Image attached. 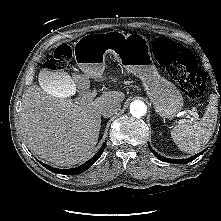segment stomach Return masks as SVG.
<instances>
[{"label":"stomach","mask_w":221,"mask_h":221,"mask_svg":"<svg viewBox=\"0 0 221 221\" xmlns=\"http://www.w3.org/2000/svg\"><path fill=\"white\" fill-rule=\"evenodd\" d=\"M86 46L77 55V65L92 77L103 74L108 54L128 72L138 77L163 118L172 119L182 108L183 98L179 90L164 79L154 65L147 38L141 34L120 31L98 33L84 37Z\"/></svg>","instance_id":"stomach-1"}]
</instances>
